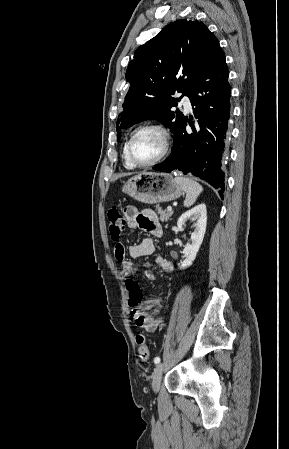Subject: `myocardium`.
Masks as SVG:
<instances>
[{
    "label": "myocardium",
    "instance_id": "1",
    "mask_svg": "<svg viewBox=\"0 0 289 449\" xmlns=\"http://www.w3.org/2000/svg\"><path fill=\"white\" fill-rule=\"evenodd\" d=\"M145 131L156 132L161 138L162 147H161V151H160L159 155L156 158H154L153 160H151L149 162L141 163V162L136 161L135 158L133 157L132 146H133V142H134L135 138L140 133L145 132ZM170 146H171V134H170L169 130L164 125H162L160 123L152 122V123H146L144 125H141L133 131V133L131 134L129 141L127 143V153H128L129 160L131 161V163L134 166L149 167V166H153V165L157 164L162 159H164L170 150Z\"/></svg>",
    "mask_w": 289,
    "mask_h": 449
}]
</instances>
